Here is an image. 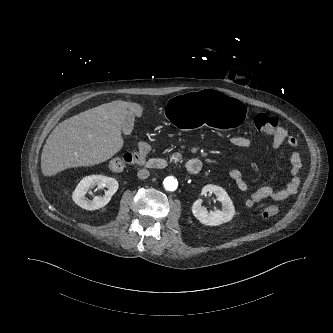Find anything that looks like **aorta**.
<instances>
[{
	"instance_id": "762f6f07",
	"label": "aorta",
	"mask_w": 333,
	"mask_h": 333,
	"mask_svg": "<svg viewBox=\"0 0 333 333\" xmlns=\"http://www.w3.org/2000/svg\"><path fill=\"white\" fill-rule=\"evenodd\" d=\"M163 185L166 190L168 191H174L178 187V181L172 176L166 177L163 181Z\"/></svg>"
}]
</instances>
